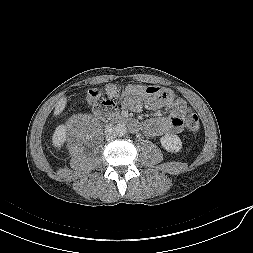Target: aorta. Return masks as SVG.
<instances>
[{
    "mask_svg": "<svg viewBox=\"0 0 253 253\" xmlns=\"http://www.w3.org/2000/svg\"><path fill=\"white\" fill-rule=\"evenodd\" d=\"M116 136H124L127 133V128L124 124H117L114 127Z\"/></svg>",
    "mask_w": 253,
    "mask_h": 253,
    "instance_id": "obj_1",
    "label": "aorta"
}]
</instances>
